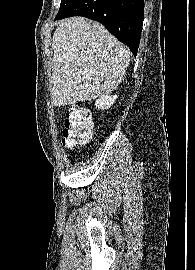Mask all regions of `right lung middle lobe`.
Masks as SVG:
<instances>
[{"label":"right lung middle lobe","mask_w":195,"mask_h":270,"mask_svg":"<svg viewBox=\"0 0 195 270\" xmlns=\"http://www.w3.org/2000/svg\"><path fill=\"white\" fill-rule=\"evenodd\" d=\"M73 1L74 0H61V5L58 14L64 12L72 4Z\"/></svg>","instance_id":"right-lung-middle-lobe-1"}]
</instances>
